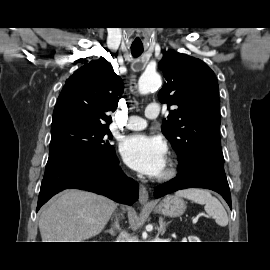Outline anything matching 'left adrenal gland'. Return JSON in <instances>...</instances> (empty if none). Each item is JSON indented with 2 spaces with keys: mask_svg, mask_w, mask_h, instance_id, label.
<instances>
[{
  "mask_svg": "<svg viewBox=\"0 0 270 270\" xmlns=\"http://www.w3.org/2000/svg\"><path fill=\"white\" fill-rule=\"evenodd\" d=\"M169 224H170V222H167V223H166V222L163 220L162 217L159 218V225H160V227H159V233H160L161 235H164V233H165V231H166V229H167V227H168Z\"/></svg>",
  "mask_w": 270,
  "mask_h": 270,
  "instance_id": "1",
  "label": "left adrenal gland"
}]
</instances>
